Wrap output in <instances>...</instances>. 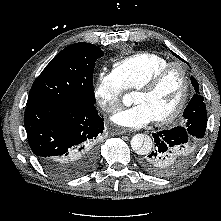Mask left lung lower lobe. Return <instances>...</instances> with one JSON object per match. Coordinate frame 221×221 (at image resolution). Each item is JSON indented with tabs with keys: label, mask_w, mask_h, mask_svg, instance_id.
<instances>
[{
	"label": "left lung lower lobe",
	"mask_w": 221,
	"mask_h": 221,
	"mask_svg": "<svg viewBox=\"0 0 221 221\" xmlns=\"http://www.w3.org/2000/svg\"><path fill=\"white\" fill-rule=\"evenodd\" d=\"M152 136L155 146L141 157L140 165L148 173L159 177L173 176L185 169L201 143L183 126L159 131Z\"/></svg>",
	"instance_id": "left-lung-lower-lobe-1"
}]
</instances>
